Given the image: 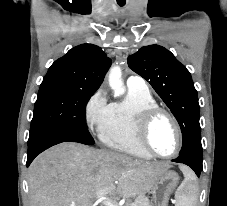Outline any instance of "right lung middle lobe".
I'll return each mask as SVG.
<instances>
[{"mask_svg": "<svg viewBox=\"0 0 227 206\" xmlns=\"http://www.w3.org/2000/svg\"><path fill=\"white\" fill-rule=\"evenodd\" d=\"M93 93L57 86H40L29 138L45 131H63L93 145L94 140L83 119L86 112L84 106Z\"/></svg>", "mask_w": 227, "mask_h": 206, "instance_id": "obj_1", "label": "right lung middle lobe"}]
</instances>
